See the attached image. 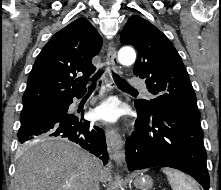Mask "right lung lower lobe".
<instances>
[{"mask_svg": "<svg viewBox=\"0 0 221 190\" xmlns=\"http://www.w3.org/2000/svg\"><path fill=\"white\" fill-rule=\"evenodd\" d=\"M83 94L74 97L80 98ZM72 98L62 101L40 117L21 124L18 131L19 142L24 143L38 135L60 136L79 144L106 164L108 152L103 130L88 121H82V118L80 119L76 114L68 112V108L73 102Z\"/></svg>", "mask_w": 221, "mask_h": 190, "instance_id": "obj_1", "label": "right lung lower lobe"}]
</instances>
